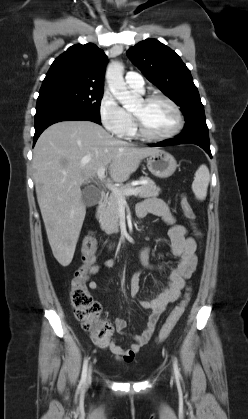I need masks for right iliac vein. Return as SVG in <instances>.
Segmentation results:
<instances>
[{"instance_id":"63e3f726","label":"right iliac vein","mask_w":248,"mask_h":419,"mask_svg":"<svg viewBox=\"0 0 248 419\" xmlns=\"http://www.w3.org/2000/svg\"><path fill=\"white\" fill-rule=\"evenodd\" d=\"M91 375H92V369H91V367H90V368H89V370H88V374H87L86 381H85V383H84V385H83V389H84V390L86 389V387L88 386V384H89V382H90V380H91Z\"/></svg>"}]
</instances>
